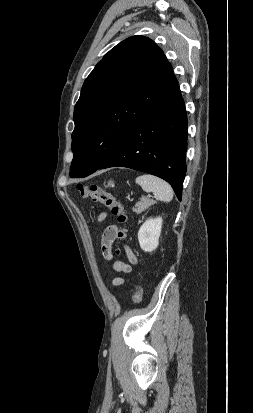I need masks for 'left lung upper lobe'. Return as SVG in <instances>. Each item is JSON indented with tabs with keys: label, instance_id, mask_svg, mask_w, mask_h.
Listing matches in <instances>:
<instances>
[{
	"label": "left lung upper lobe",
	"instance_id": "1",
	"mask_svg": "<svg viewBox=\"0 0 253 413\" xmlns=\"http://www.w3.org/2000/svg\"><path fill=\"white\" fill-rule=\"evenodd\" d=\"M173 76L163 51L147 37L132 36L111 49L85 80L74 108L70 177L99 169Z\"/></svg>",
	"mask_w": 253,
	"mask_h": 413
}]
</instances>
